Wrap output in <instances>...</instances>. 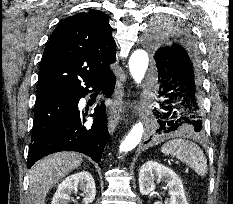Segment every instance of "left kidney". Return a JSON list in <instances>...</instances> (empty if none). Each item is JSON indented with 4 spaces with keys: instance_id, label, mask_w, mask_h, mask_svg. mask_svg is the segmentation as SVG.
<instances>
[{
    "instance_id": "left-kidney-1",
    "label": "left kidney",
    "mask_w": 233,
    "mask_h": 204,
    "mask_svg": "<svg viewBox=\"0 0 233 204\" xmlns=\"http://www.w3.org/2000/svg\"><path fill=\"white\" fill-rule=\"evenodd\" d=\"M155 181L165 182L170 194V199L165 204H189L181 179L170 168L156 161L144 163L139 172V189L142 195H149L155 190ZM154 204H162L156 201Z\"/></svg>"
}]
</instances>
